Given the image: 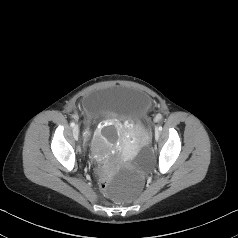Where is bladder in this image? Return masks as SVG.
<instances>
[{
  "instance_id": "1",
  "label": "bladder",
  "mask_w": 238,
  "mask_h": 238,
  "mask_svg": "<svg viewBox=\"0 0 238 238\" xmlns=\"http://www.w3.org/2000/svg\"><path fill=\"white\" fill-rule=\"evenodd\" d=\"M151 101L141 92L126 87H110L96 92L84 101L85 112L92 115L94 121L113 117L138 122L148 115Z\"/></svg>"
}]
</instances>
